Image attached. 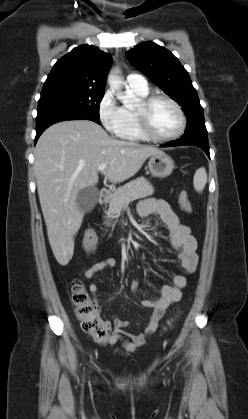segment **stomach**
<instances>
[{
    "mask_svg": "<svg viewBox=\"0 0 248 419\" xmlns=\"http://www.w3.org/2000/svg\"><path fill=\"white\" fill-rule=\"evenodd\" d=\"M148 167L152 176L165 178L172 173L175 164L170 156L161 152L150 157Z\"/></svg>",
    "mask_w": 248,
    "mask_h": 419,
    "instance_id": "stomach-1",
    "label": "stomach"
}]
</instances>
